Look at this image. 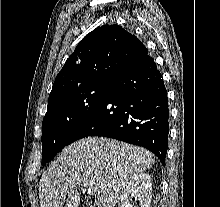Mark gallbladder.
Segmentation results:
<instances>
[{
    "label": "gallbladder",
    "instance_id": "gallbladder-1",
    "mask_svg": "<svg viewBox=\"0 0 220 207\" xmlns=\"http://www.w3.org/2000/svg\"><path fill=\"white\" fill-rule=\"evenodd\" d=\"M87 204H88V205H90V204H91V202H87Z\"/></svg>",
    "mask_w": 220,
    "mask_h": 207
}]
</instances>
